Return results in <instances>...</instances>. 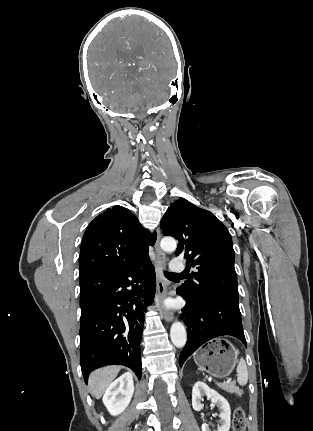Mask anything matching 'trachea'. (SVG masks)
<instances>
[{
    "mask_svg": "<svg viewBox=\"0 0 313 431\" xmlns=\"http://www.w3.org/2000/svg\"><path fill=\"white\" fill-rule=\"evenodd\" d=\"M177 275H178V274L165 272V276H166L167 278L174 277V276H177Z\"/></svg>",
    "mask_w": 313,
    "mask_h": 431,
    "instance_id": "3493384b",
    "label": "trachea"
}]
</instances>
